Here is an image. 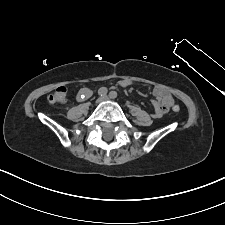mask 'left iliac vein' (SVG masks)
I'll return each mask as SVG.
<instances>
[{"instance_id":"4c4485c4","label":"left iliac vein","mask_w":225,"mask_h":225,"mask_svg":"<svg viewBox=\"0 0 225 225\" xmlns=\"http://www.w3.org/2000/svg\"><path fill=\"white\" fill-rule=\"evenodd\" d=\"M103 99H104V100H108V97H104Z\"/></svg>"}]
</instances>
